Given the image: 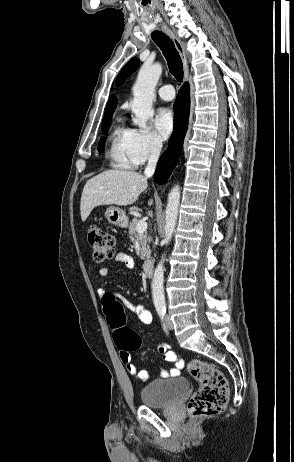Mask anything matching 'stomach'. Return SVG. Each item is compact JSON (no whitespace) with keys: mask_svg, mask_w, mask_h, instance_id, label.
<instances>
[{"mask_svg":"<svg viewBox=\"0 0 294 462\" xmlns=\"http://www.w3.org/2000/svg\"><path fill=\"white\" fill-rule=\"evenodd\" d=\"M105 217L109 223L115 226L125 227L127 225V217L125 212L118 207L111 206L107 208Z\"/></svg>","mask_w":294,"mask_h":462,"instance_id":"0dacf381","label":"stomach"}]
</instances>
